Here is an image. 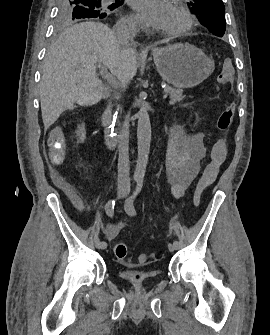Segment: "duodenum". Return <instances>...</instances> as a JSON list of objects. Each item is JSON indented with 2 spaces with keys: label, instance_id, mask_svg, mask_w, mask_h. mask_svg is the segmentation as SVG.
Segmentation results:
<instances>
[{
  "label": "duodenum",
  "instance_id": "410a0bca",
  "mask_svg": "<svg viewBox=\"0 0 270 335\" xmlns=\"http://www.w3.org/2000/svg\"><path fill=\"white\" fill-rule=\"evenodd\" d=\"M101 124L103 128L104 140L106 145L109 148H113L115 146V137L113 135V131L111 128V107L107 106L104 110L101 118Z\"/></svg>",
  "mask_w": 270,
  "mask_h": 335
}]
</instances>
